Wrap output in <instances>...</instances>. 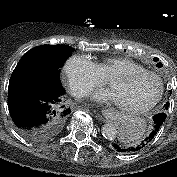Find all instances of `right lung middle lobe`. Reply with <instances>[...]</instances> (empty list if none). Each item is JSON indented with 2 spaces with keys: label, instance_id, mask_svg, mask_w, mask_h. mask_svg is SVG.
<instances>
[{
  "label": "right lung middle lobe",
  "instance_id": "1",
  "mask_svg": "<svg viewBox=\"0 0 177 177\" xmlns=\"http://www.w3.org/2000/svg\"><path fill=\"white\" fill-rule=\"evenodd\" d=\"M73 51L66 45H41L26 52L12 73V78L42 75L61 84L60 68Z\"/></svg>",
  "mask_w": 177,
  "mask_h": 177
}]
</instances>
